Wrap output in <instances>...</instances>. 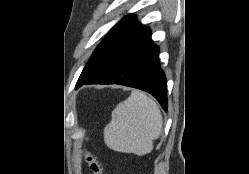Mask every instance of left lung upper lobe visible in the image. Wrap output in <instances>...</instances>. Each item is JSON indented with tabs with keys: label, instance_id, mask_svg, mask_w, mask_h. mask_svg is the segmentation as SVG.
I'll use <instances>...</instances> for the list:
<instances>
[{
	"label": "left lung upper lobe",
	"instance_id": "obj_1",
	"mask_svg": "<svg viewBox=\"0 0 249 174\" xmlns=\"http://www.w3.org/2000/svg\"><path fill=\"white\" fill-rule=\"evenodd\" d=\"M144 26L133 15H128L116 24L93 52L90 60L84 67L80 78H90L114 56L117 50L131 37L140 32Z\"/></svg>",
	"mask_w": 249,
	"mask_h": 174
}]
</instances>
